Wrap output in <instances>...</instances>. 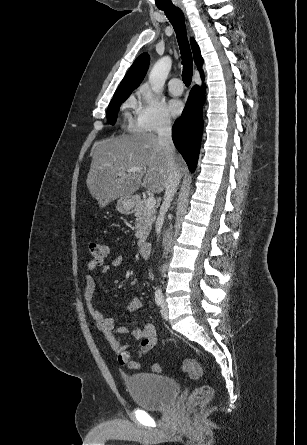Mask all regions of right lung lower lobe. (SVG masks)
Masks as SVG:
<instances>
[{
	"label": "right lung lower lobe",
	"instance_id": "1",
	"mask_svg": "<svg viewBox=\"0 0 307 445\" xmlns=\"http://www.w3.org/2000/svg\"><path fill=\"white\" fill-rule=\"evenodd\" d=\"M201 77L203 79V72H201ZM203 102V92L198 86H194L182 115L175 121L172 128L175 147L182 154L191 172H194L199 156L203 129Z\"/></svg>",
	"mask_w": 307,
	"mask_h": 445
}]
</instances>
